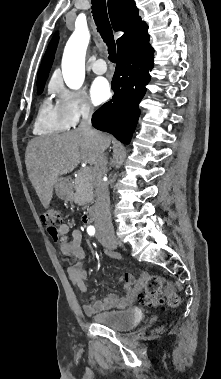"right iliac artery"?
Wrapping results in <instances>:
<instances>
[{
	"label": "right iliac artery",
	"mask_w": 221,
	"mask_h": 379,
	"mask_svg": "<svg viewBox=\"0 0 221 379\" xmlns=\"http://www.w3.org/2000/svg\"><path fill=\"white\" fill-rule=\"evenodd\" d=\"M87 233L90 235V236H93L95 234V228L94 226H89L87 228Z\"/></svg>",
	"instance_id": "82829eb1"
}]
</instances>
